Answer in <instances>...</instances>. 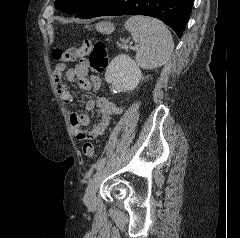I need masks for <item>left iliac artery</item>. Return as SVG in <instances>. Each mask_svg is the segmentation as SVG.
Masks as SVG:
<instances>
[{"label": "left iliac artery", "mask_w": 240, "mask_h": 238, "mask_svg": "<svg viewBox=\"0 0 240 238\" xmlns=\"http://www.w3.org/2000/svg\"><path fill=\"white\" fill-rule=\"evenodd\" d=\"M106 161H107V158H106V157H104V158H102V159L99 160V162H98L97 165H96V170H97V172L100 171V170L104 167Z\"/></svg>", "instance_id": "44dca946"}]
</instances>
